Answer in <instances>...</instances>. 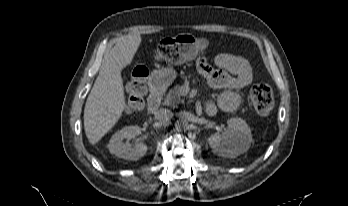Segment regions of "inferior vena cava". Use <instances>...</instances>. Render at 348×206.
<instances>
[{
	"label": "inferior vena cava",
	"instance_id": "inferior-vena-cava-1",
	"mask_svg": "<svg viewBox=\"0 0 348 206\" xmlns=\"http://www.w3.org/2000/svg\"><path fill=\"white\" fill-rule=\"evenodd\" d=\"M155 119L161 123H167L173 117V113L171 110L166 108H161L155 112Z\"/></svg>",
	"mask_w": 348,
	"mask_h": 206
}]
</instances>
